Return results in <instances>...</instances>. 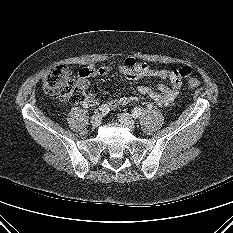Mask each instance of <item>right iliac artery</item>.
<instances>
[{
  "mask_svg": "<svg viewBox=\"0 0 233 233\" xmlns=\"http://www.w3.org/2000/svg\"><path fill=\"white\" fill-rule=\"evenodd\" d=\"M98 111L102 112L103 114H107L110 111V108L105 104L101 105L95 112L97 113Z\"/></svg>",
  "mask_w": 233,
  "mask_h": 233,
  "instance_id": "82829eb1",
  "label": "right iliac artery"
}]
</instances>
